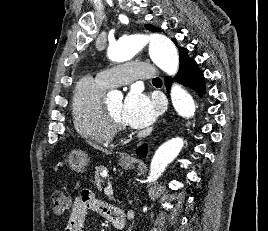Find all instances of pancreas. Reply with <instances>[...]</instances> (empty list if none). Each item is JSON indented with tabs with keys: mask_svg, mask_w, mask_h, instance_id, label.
Masks as SVG:
<instances>
[{
	"mask_svg": "<svg viewBox=\"0 0 268 231\" xmlns=\"http://www.w3.org/2000/svg\"><path fill=\"white\" fill-rule=\"evenodd\" d=\"M104 169L105 168L103 166H98L96 167V171H95L94 185H96L99 190L102 189V185L104 184V180L100 174L101 171H103Z\"/></svg>",
	"mask_w": 268,
	"mask_h": 231,
	"instance_id": "1",
	"label": "pancreas"
}]
</instances>
